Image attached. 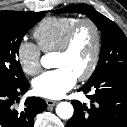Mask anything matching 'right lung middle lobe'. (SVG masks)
I'll list each match as a JSON object with an SVG mask.
<instances>
[{
	"label": "right lung middle lobe",
	"instance_id": "obj_1",
	"mask_svg": "<svg viewBox=\"0 0 127 127\" xmlns=\"http://www.w3.org/2000/svg\"><path fill=\"white\" fill-rule=\"evenodd\" d=\"M45 12L0 11V84L17 86L27 81L17 59L22 38Z\"/></svg>",
	"mask_w": 127,
	"mask_h": 127
}]
</instances>
